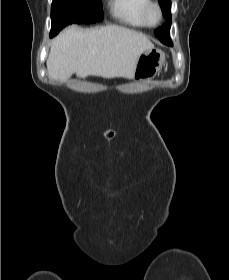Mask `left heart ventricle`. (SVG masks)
I'll return each instance as SVG.
<instances>
[{
  "mask_svg": "<svg viewBox=\"0 0 229 280\" xmlns=\"http://www.w3.org/2000/svg\"><path fill=\"white\" fill-rule=\"evenodd\" d=\"M156 18H157L156 14H155V13H152V15H151V20H152V21H155Z\"/></svg>",
  "mask_w": 229,
  "mask_h": 280,
  "instance_id": "1",
  "label": "left heart ventricle"
}]
</instances>
